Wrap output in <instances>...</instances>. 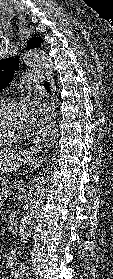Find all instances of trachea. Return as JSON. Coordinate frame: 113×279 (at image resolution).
Returning <instances> with one entry per match:
<instances>
[{
  "instance_id": "3493384b",
  "label": "trachea",
  "mask_w": 113,
  "mask_h": 279,
  "mask_svg": "<svg viewBox=\"0 0 113 279\" xmlns=\"http://www.w3.org/2000/svg\"><path fill=\"white\" fill-rule=\"evenodd\" d=\"M44 86H45V88H47V89H49V88H50V85H49V83H48V82H45Z\"/></svg>"
}]
</instances>
